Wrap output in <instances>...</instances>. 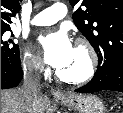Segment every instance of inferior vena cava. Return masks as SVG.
<instances>
[{
	"label": "inferior vena cava",
	"instance_id": "inferior-vena-cava-1",
	"mask_svg": "<svg viewBox=\"0 0 123 113\" xmlns=\"http://www.w3.org/2000/svg\"><path fill=\"white\" fill-rule=\"evenodd\" d=\"M40 67L29 66L24 72L23 85L20 92L27 103L31 104L40 96Z\"/></svg>",
	"mask_w": 123,
	"mask_h": 113
}]
</instances>
